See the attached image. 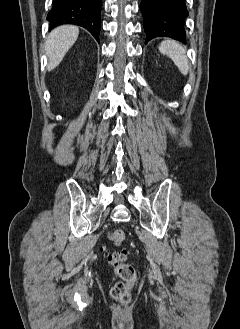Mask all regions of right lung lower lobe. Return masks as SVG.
<instances>
[{
  "label": "right lung lower lobe",
  "mask_w": 240,
  "mask_h": 329,
  "mask_svg": "<svg viewBox=\"0 0 240 329\" xmlns=\"http://www.w3.org/2000/svg\"><path fill=\"white\" fill-rule=\"evenodd\" d=\"M101 8L102 0H53V7L47 15L50 30L63 24L79 25L99 42Z\"/></svg>",
  "instance_id": "1"
}]
</instances>
